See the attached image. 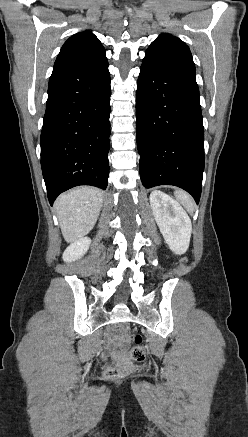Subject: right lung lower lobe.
<instances>
[{
    "label": "right lung lower lobe",
    "mask_w": 248,
    "mask_h": 437,
    "mask_svg": "<svg viewBox=\"0 0 248 437\" xmlns=\"http://www.w3.org/2000/svg\"><path fill=\"white\" fill-rule=\"evenodd\" d=\"M110 95L107 60L53 69L40 139L41 167L51 205L74 186L106 189Z\"/></svg>",
    "instance_id": "obj_1"
}]
</instances>
